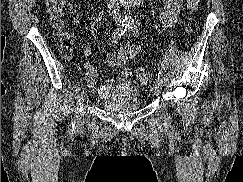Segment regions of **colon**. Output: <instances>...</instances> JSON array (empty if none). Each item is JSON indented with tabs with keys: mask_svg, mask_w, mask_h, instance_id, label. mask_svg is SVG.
Segmentation results:
<instances>
[{
	"mask_svg": "<svg viewBox=\"0 0 243 182\" xmlns=\"http://www.w3.org/2000/svg\"><path fill=\"white\" fill-rule=\"evenodd\" d=\"M200 0H186V6L190 13L197 10ZM66 8V0H46V9L50 16L51 25L58 31L56 41L58 43L61 54L65 58H69L73 53V43L71 36L62 31L64 27V15ZM192 21L190 19V25ZM135 76L140 81H147L149 72L144 67H139L135 70Z\"/></svg>",
	"mask_w": 243,
	"mask_h": 182,
	"instance_id": "5ec220e1",
	"label": "colon"
}]
</instances>
